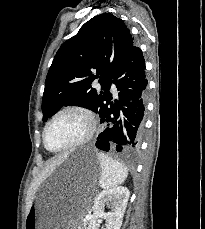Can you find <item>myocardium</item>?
<instances>
[{"instance_id": "obj_1", "label": "myocardium", "mask_w": 205, "mask_h": 229, "mask_svg": "<svg viewBox=\"0 0 205 229\" xmlns=\"http://www.w3.org/2000/svg\"><path fill=\"white\" fill-rule=\"evenodd\" d=\"M67 113H77V114H80L81 116H83L87 122V130H86L85 134L80 139H78L77 141H75L69 145H66L64 147L58 148V149H52L47 144L48 129L58 117H60L64 114H67ZM96 128H97L96 117L90 109H88L84 106H81V105H69V106L62 108L58 112H56L52 116V118L47 122V124L43 130V137H42L43 138V144H44V147L48 151L53 152V153L67 151V150L79 147V146L87 143L95 134Z\"/></svg>"}]
</instances>
